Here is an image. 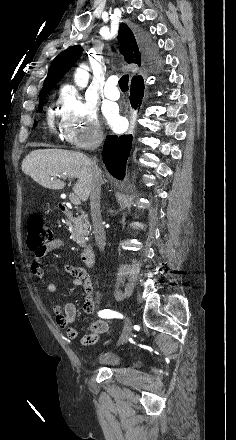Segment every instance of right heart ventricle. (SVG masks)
Wrapping results in <instances>:
<instances>
[{
    "label": "right heart ventricle",
    "mask_w": 236,
    "mask_h": 440,
    "mask_svg": "<svg viewBox=\"0 0 236 440\" xmlns=\"http://www.w3.org/2000/svg\"><path fill=\"white\" fill-rule=\"evenodd\" d=\"M47 121H48L49 126L52 128L53 127V116H52L51 111H49L47 114Z\"/></svg>",
    "instance_id": "obj_1"
}]
</instances>
